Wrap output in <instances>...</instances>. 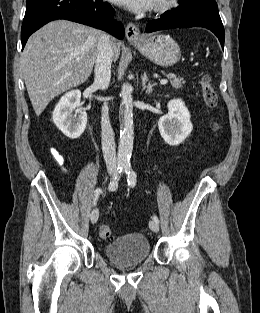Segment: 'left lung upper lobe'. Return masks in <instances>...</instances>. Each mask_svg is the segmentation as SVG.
<instances>
[{
	"label": "left lung upper lobe",
	"mask_w": 260,
	"mask_h": 313,
	"mask_svg": "<svg viewBox=\"0 0 260 313\" xmlns=\"http://www.w3.org/2000/svg\"><path fill=\"white\" fill-rule=\"evenodd\" d=\"M179 3L177 9L181 11H203L219 14L217 3L214 0H179Z\"/></svg>",
	"instance_id": "5c2ea615"
}]
</instances>
